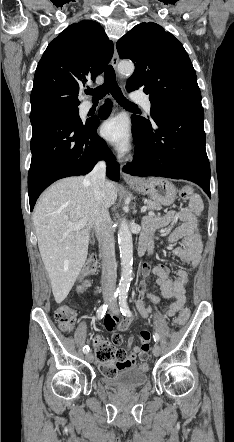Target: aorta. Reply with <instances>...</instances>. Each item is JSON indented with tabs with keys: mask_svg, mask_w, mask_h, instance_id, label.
Wrapping results in <instances>:
<instances>
[{
	"mask_svg": "<svg viewBox=\"0 0 234 442\" xmlns=\"http://www.w3.org/2000/svg\"><path fill=\"white\" fill-rule=\"evenodd\" d=\"M119 73L123 75H130L134 71V64L132 62H121L118 65ZM118 244L121 258V280L118 286L119 294H126L129 290L132 279V264H133V240L129 225L126 219L120 223L118 230Z\"/></svg>",
	"mask_w": 234,
	"mask_h": 442,
	"instance_id": "762f6f07",
	"label": "aorta"
}]
</instances>
